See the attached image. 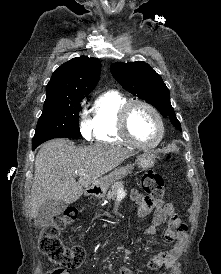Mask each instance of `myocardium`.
Instances as JSON below:
<instances>
[{
    "label": "myocardium",
    "instance_id": "myocardium-1",
    "mask_svg": "<svg viewBox=\"0 0 221 274\" xmlns=\"http://www.w3.org/2000/svg\"><path fill=\"white\" fill-rule=\"evenodd\" d=\"M136 106H143L147 108L156 118L159 126V135L157 139L151 144H144L137 141L131 134L129 129V116L131 110ZM119 131L121 135L128 141L129 144L140 149H152L160 144L165 134V126L160 112L149 102L144 100H130L119 112Z\"/></svg>",
    "mask_w": 221,
    "mask_h": 274
}]
</instances>
